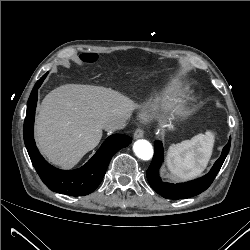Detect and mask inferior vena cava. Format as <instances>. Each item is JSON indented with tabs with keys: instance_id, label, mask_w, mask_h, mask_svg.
Returning a JSON list of instances; mask_svg holds the SVG:
<instances>
[{
	"instance_id": "1",
	"label": "inferior vena cava",
	"mask_w": 250,
	"mask_h": 250,
	"mask_svg": "<svg viewBox=\"0 0 250 250\" xmlns=\"http://www.w3.org/2000/svg\"><path fill=\"white\" fill-rule=\"evenodd\" d=\"M127 116H117L108 119L104 124V129L108 131L121 130L126 126Z\"/></svg>"
}]
</instances>
